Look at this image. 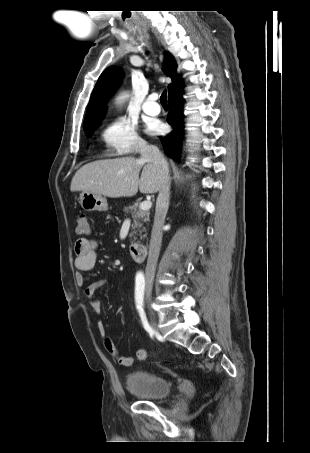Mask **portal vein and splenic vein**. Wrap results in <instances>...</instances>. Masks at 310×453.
I'll list each match as a JSON object with an SVG mask.
<instances>
[{
    "mask_svg": "<svg viewBox=\"0 0 310 453\" xmlns=\"http://www.w3.org/2000/svg\"><path fill=\"white\" fill-rule=\"evenodd\" d=\"M151 206H152V202L147 200L140 204V209L144 210V211H148L151 208Z\"/></svg>",
    "mask_w": 310,
    "mask_h": 453,
    "instance_id": "1",
    "label": "portal vein and splenic vein"
}]
</instances>
